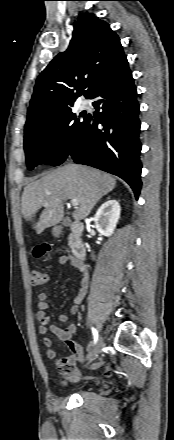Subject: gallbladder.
<instances>
[{"label": "gallbladder", "mask_w": 174, "mask_h": 440, "mask_svg": "<svg viewBox=\"0 0 174 440\" xmlns=\"http://www.w3.org/2000/svg\"><path fill=\"white\" fill-rule=\"evenodd\" d=\"M63 225H64V226H68V225H69V221L64 220V221H63Z\"/></svg>", "instance_id": "bac80fb5"}]
</instances>
